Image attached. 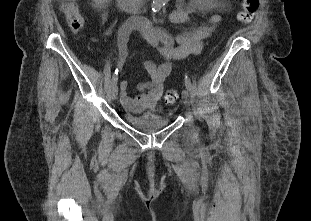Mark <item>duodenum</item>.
I'll return each instance as SVG.
<instances>
[{
  "label": "duodenum",
  "instance_id": "duodenum-1",
  "mask_svg": "<svg viewBox=\"0 0 311 221\" xmlns=\"http://www.w3.org/2000/svg\"><path fill=\"white\" fill-rule=\"evenodd\" d=\"M120 9H128L135 11H143L148 9L150 0H117ZM147 20H139L132 23V26L137 28H143L148 25Z\"/></svg>",
  "mask_w": 311,
  "mask_h": 221
}]
</instances>
